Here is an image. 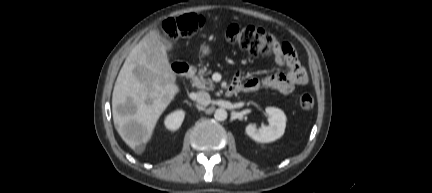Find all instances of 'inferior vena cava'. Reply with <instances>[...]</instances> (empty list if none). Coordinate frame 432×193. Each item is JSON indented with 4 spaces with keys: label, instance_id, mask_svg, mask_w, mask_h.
<instances>
[{
    "label": "inferior vena cava",
    "instance_id": "obj_1",
    "mask_svg": "<svg viewBox=\"0 0 432 193\" xmlns=\"http://www.w3.org/2000/svg\"><path fill=\"white\" fill-rule=\"evenodd\" d=\"M196 101L201 105L207 106L211 102V97L209 93L205 91H199L196 93Z\"/></svg>",
    "mask_w": 432,
    "mask_h": 193
}]
</instances>
